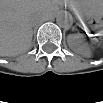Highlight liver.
Returning a JSON list of instances; mask_svg holds the SVG:
<instances>
[{"label":"liver","mask_w":103,"mask_h":103,"mask_svg":"<svg viewBox=\"0 0 103 103\" xmlns=\"http://www.w3.org/2000/svg\"><path fill=\"white\" fill-rule=\"evenodd\" d=\"M60 4L62 2L57 0H2L1 55L13 56L28 50L32 41L33 17H51Z\"/></svg>","instance_id":"obj_1"}]
</instances>
